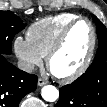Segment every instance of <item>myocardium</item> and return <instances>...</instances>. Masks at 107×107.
Segmentation results:
<instances>
[{"mask_svg": "<svg viewBox=\"0 0 107 107\" xmlns=\"http://www.w3.org/2000/svg\"><path fill=\"white\" fill-rule=\"evenodd\" d=\"M80 22L87 23L90 28V31H91V43H90L88 53H87L83 63L80 65V67L77 70H75L71 74L64 75V76L57 75L51 69L52 59L64 46V43H65L70 31L73 29V27ZM96 42H97L96 30H95V27L93 26L92 22L85 17L76 18L75 20L71 21L69 24H67L65 26V28L62 30L59 37L57 38L56 42L49 50V52L46 56V64H47L48 69L59 81H61L63 83H69V82H72V81L78 79L80 76H82L87 71V69L89 68V66L92 62V59H93V56L95 53Z\"/></svg>", "mask_w": 107, "mask_h": 107, "instance_id": "obj_1", "label": "myocardium"}]
</instances>
